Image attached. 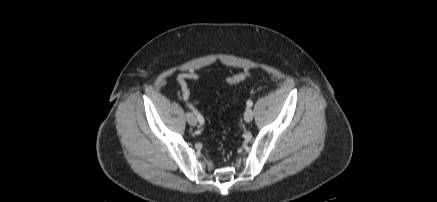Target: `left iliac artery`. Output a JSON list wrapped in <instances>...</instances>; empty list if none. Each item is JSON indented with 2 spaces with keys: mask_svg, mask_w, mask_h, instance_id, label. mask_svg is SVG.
Wrapping results in <instances>:
<instances>
[{
  "mask_svg": "<svg viewBox=\"0 0 437 202\" xmlns=\"http://www.w3.org/2000/svg\"><path fill=\"white\" fill-rule=\"evenodd\" d=\"M246 104H247L248 107H252L253 102L251 100H248Z\"/></svg>",
  "mask_w": 437,
  "mask_h": 202,
  "instance_id": "44dca946",
  "label": "left iliac artery"
}]
</instances>
